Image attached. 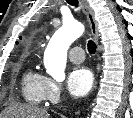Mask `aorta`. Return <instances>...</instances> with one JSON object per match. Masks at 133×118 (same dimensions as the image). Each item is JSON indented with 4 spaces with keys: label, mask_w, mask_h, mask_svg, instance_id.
<instances>
[{
    "label": "aorta",
    "mask_w": 133,
    "mask_h": 118,
    "mask_svg": "<svg viewBox=\"0 0 133 118\" xmlns=\"http://www.w3.org/2000/svg\"><path fill=\"white\" fill-rule=\"evenodd\" d=\"M83 33L84 26L77 21H71L64 23L53 35L44 53V65L47 73L54 79L65 78L67 51Z\"/></svg>",
    "instance_id": "aorta-1"
}]
</instances>
